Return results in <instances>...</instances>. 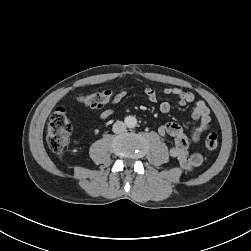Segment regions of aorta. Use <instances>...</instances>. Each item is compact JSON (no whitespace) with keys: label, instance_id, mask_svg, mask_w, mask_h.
I'll list each match as a JSON object with an SVG mask.
<instances>
[{"label":"aorta","instance_id":"1","mask_svg":"<svg viewBox=\"0 0 251 251\" xmlns=\"http://www.w3.org/2000/svg\"><path fill=\"white\" fill-rule=\"evenodd\" d=\"M137 124V119L134 116H127L125 118V125L128 128H134Z\"/></svg>","mask_w":251,"mask_h":251}]
</instances>
